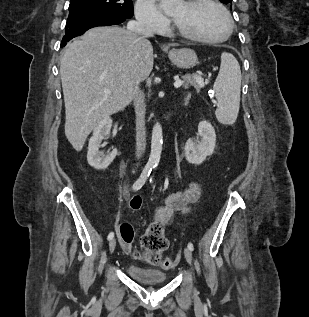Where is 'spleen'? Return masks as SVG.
Wrapping results in <instances>:
<instances>
[{"instance_id": "3e777b00", "label": "spleen", "mask_w": 309, "mask_h": 317, "mask_svg": "<svg viewBox=\"0 0 309 317\" xmlns=\"http://www.w3.org/2000/svg\"><path fill=\"white\" fill-rule=\"evenodd\" d=\"M213 88L218 100L217 120L227 125L235 123L240 106L241 70L231 53L221 54L220 70Z\"/></svg>"}]
</instances>
